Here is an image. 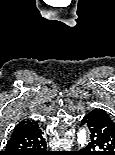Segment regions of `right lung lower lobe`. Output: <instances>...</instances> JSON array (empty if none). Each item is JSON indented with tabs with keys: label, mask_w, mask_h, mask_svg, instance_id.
I'll list each match as a JSON object with an SVG mask.
<instances>
[{
	"label": "right lung lower lobe",
	"mask_w": 115,
	"mask_h": 155,
	"mask_svg": "<svg viewBox=\"0 0 115 155\" xmlns=\"http://www.w3.org/2000/svg\"><path fill=\"white\" fill-rule=\"evenodd\" d=\"M43 132L38 127L31 131L11 136L3 155H50L46 150Z\"/></svg>",
	"instance_id": "98d812e1"
}]
</instances>
